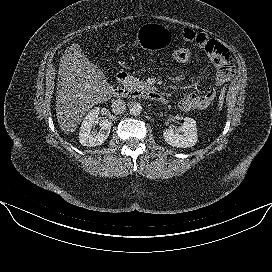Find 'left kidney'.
I'll return each instance as SVG.
<instances>
[{"label": "left kidney", "instance_id": "5707ae66", "mask_svg": "<svg viewBox=\"0 0 272 272\" xmlns=\"http://www.w3.org/2000/svg\"><path fill=\"white\" fill-rule=\"evenodd\" d=\"M182 132V134H179ZM163 137L165 141L177 148L192 147L197 142V128L194 119L185 117L183 125L178 129V132H174L173 129H166L163 131Z\"/></svg>", "mask_w": 272, "mask_h": 272}]
</instances>
